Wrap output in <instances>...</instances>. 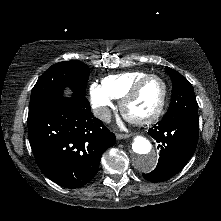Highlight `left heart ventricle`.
Returning a JSON list of instances; mask_svg holds the SVG:
<instances>
[{"mask_svg": "<svg viewBox=\"0 0 221 221\" xmlns=\"http://www.w3.org/2000/svg\"><path fill=\"white\" fill-rule=\"evenodd\" d=\"M162 92L163 88L159 80H149L128 104V113L137 118L149 116L157 109L161 101Z\"/></svg>", "mask_w": 221, "mask_h": 221, "instance_id": "left-heart-ventricle-1", "label": "left heart ventricle"}]
</instances>
